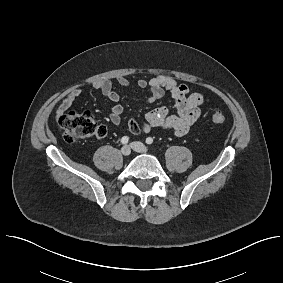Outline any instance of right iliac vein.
<instances>
[{
    "label": "right iliac vein",
    "instance_id": "63e3f726",
    "mask_svg": "<svg viewBox=\"0 0 283 283\" xmlns=\"http://www.w3.org/2000/svg\"><path fill=\"white\" fill-rule=\"evenodd\" d=\"M121 153H122L124 156H128V155H130V153H131V148H130L128 145L123 146V147L121 148Z\"/></svg>",
    "mask_w": 283,
    "mask_h": 283
}]
</instances>
